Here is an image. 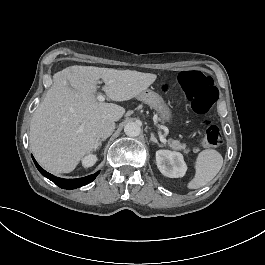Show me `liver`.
Instances as JSON below:
<instances>
[{"mask_svg":"<svg viewBox=\"0 0 265 265\" xmlns=\"http://www.w3.org/2000/svg\"><path fill=\"white\" fill-rule=\"evenodd\" d=\"M107 97L125 101L136 97L157 78L151 73L94 66H70L53 76V84L34 111L30 147L39 164L52 173H69L96 143L103 120L118 121L125 109L98 102L99 79Z\"/></svg>","mask_w":265,"mask_h":265,"instance_id":"liver-1","label":"liver"}]
</instances>
